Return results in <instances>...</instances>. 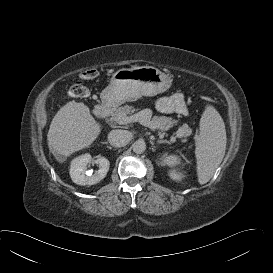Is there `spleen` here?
<instances>
[{
  "label": "spleen",
  "mask_w": 273,
  "mask_h": 273,
  "mask_svg": "<svg viewBox=\"0 0 273 273\" xmlns=\"http://www.w3.org/2000/svg\"><path fill=\"white\" fill-rule=\"evenodd\" d=\"M226 142L224 121L218 111L212 105L207 104L200 119V132L195 148L200 184L207 183L214 175L224 158ZM162 164L174 167L180 164V158L177 155L164 156Z\"/></svg>",
  "instance_id": "spleen-1"
}]
</instances>
